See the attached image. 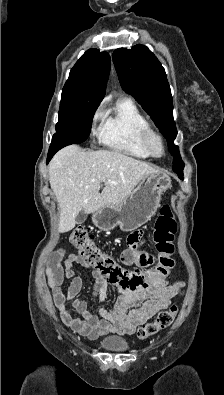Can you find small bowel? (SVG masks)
I'll use <instances>...</instances> for the list:
<instances>
[{
	"label": "small bowel",
	"instance_id": "obj_1",
	"mask_svg": "<svg viewBox=\"0 0 224 395\" xmlns=\"http://www.w3.org/2000/svg\"><path fill=\"white\" fill-rule=\"evenodd\" d=\"M143 243L141 232L131 233L128 237V247L122 253V262L126 265L146 267L152 263V257L139 249ZM63 251L54 253L50 265L46 269L49 288L53 292L54 303L65 325L78 334L95 340L107 334L130 335L136 329L153 317L159 311L167 308L176 294L181 281L170 283L165 278L151 280L146 289L131 292L119 287V297L111 308H105L102 303L108 295L109 281L98 270H92L94 278L93 297L100 306L96 312L89 310L84 299L77 298L83 285L80 276L75 275V266L91 268L80 255L71 254L64 261ZM65 279H71L66 292L62 286ZM73 300L72 306L80 317H73L67 302Z\"/></svg>",
	"mask_w": 224,
	"mask_h": 395
}]
</instances>
